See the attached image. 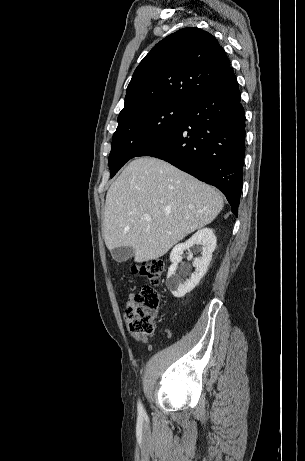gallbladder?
Instances as JSON below:
<instances>
[{"label":"gallbladder","instance_id":"gallbladder-1","mask_svg":"<svg viewBox=\"0 0 305 461\" xmlns=\"http://www.w3.org/2000/svg\"><path fill=\"white\" fill-rule=\"evenodd\" d=\"M111 255L115 261L125 262L134 255V249L129 246L117 247L111 251Z\"/></svg>","mask_w":305,"mask_h":461}]
</instances>
